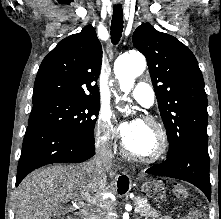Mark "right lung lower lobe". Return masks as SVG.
Wrapping results in <instances>:
<instances>
[{
  "mask_svg": "<svg viewBox=\"0 0 221 219\" xmlns=\"http://www.w3.org/2000/svg\"><path fill=\"white\" fill-rule=\"evenodd\" d=\"M95 154L94 143L39 123L28 125L18 164L16 186L31 171L57 162H84Z\"/></svg>",
  "mask_w": 221,
  "mask_h": 219,
  "instance_id": "obj_1",
  "label": "right lung lower lobe"
}]
</instances>
